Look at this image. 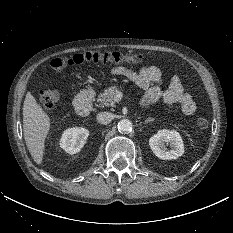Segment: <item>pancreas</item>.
<instances>
[{
    "label": "pancreas",
    "instance_id": "pancreas-1",
    "mask_svg": "<svg viewBox=\"0 0 233 233\" xmlns=\"http://www.w3.org/2000/svg\"><path fill=\"white\" fill-rule=\"evenodd\" d=\"M120 92L119 87L111 86L108 89L104 90L103 93H100L97 101L102 106H113L115 101L116 94Z\"/></svg>",
    "mask_w": 233,
    "mask_h": 233
}]
</instances>
